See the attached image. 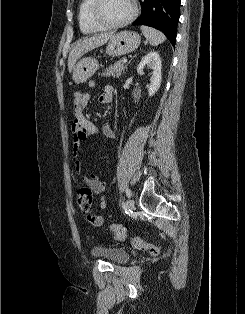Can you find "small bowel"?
Returning a JSON list of instances; mask_svg holds the SVG:
<instances>
[{"mask_svg":"<svg viewBox=\"0 0 245 314\" xmlns=\"http://www.w3.org/2000/svg\"><path fill=\"white\" fill-rule=\"evenodd\" d=\"M89 88L94 89L96 83L94 81L89 82ZM90 93L82 90H78L73 95L72 100V133H73V158L75 163V171L77 176L86 182L95 194L102 195L106 190V183L101 181L97 175L86 174L82 171L79 157L82 154V145L90 137H108L117 138L116 132L108 125L99 127L92 121L88 120L84 114V110L90 100ZM113 87L106 85L104 91L99 96V102L107 104L112 101ZM100 207L102 209L107 208V203L104 196L101 197ZM86 219L93 227H99L104 223V217L96 215L93 212L86 214Z\"/></svg>","mask_w":245,"mask_h":314,"instance_id":"small-bowel-1","label":"small bowel"}]
</instances>
